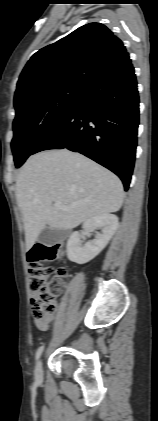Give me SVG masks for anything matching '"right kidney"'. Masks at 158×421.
<instances>
[{
    "label": "right kidney",
    "mask_w": 158,
    "mask_h": 421,
    "mask_svg": "<svg viewBox=\"0 0 158 421\" xmlns=\"http://www.w3.org/2000/svg\"><path fill=\"white\" fill-rule=\"evenodd\" d=\"M84 229H101L95 239L81 245L80 233L73 232L67 242L68 259L77 264H84L95 258L108 244L118 228V217L105 214L88 219L83 224Z\"/></svg>",
    "instance_id": "right-kidney-1"
}]
</instances>
